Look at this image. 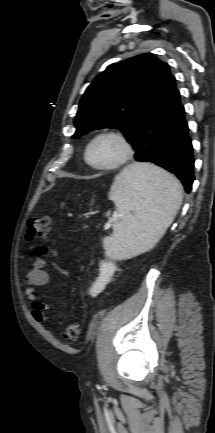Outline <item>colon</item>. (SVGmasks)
Listing matches in <instances>:
<instances>
[{"instance_id":"colon-1","label":"colon","mask_w":215,"mask_h":433,"mask_svg":"<svg viewBox=\"0 0 215 433\" xmlns=\"http://www.w3.org/2000/svg\"><path fill=\"white\" fill-rule=\"evenodd\" d=\"M51 220L49 217L31 218L28 222L26 238L28 241L46 240L50 234ZM80 335V326L77 323L67 324L63 329L66 340H76Z\"/></svg>"}]
</instances>
